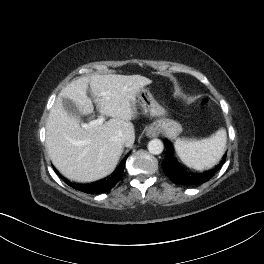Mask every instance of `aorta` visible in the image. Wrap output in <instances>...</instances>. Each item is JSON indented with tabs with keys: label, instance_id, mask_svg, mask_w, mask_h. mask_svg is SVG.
Here are the masks:
<instances>
[{
	"label": "aorta",
	"instance_id": "1",
	"mask_svg": "<svg viewBox=\"0 0 264 264\" xmlns=\"http://www.w3.org/2000/svg\"><path fill=\"white\" fill-rule=\"evenodd\" d=\"M147 147L149 152L154 155H159L164 149L163 142L160 139L150 140Z\"/></svg>",
	"mask_w": 264,
	"mask_h": 264
}]
</instances>
